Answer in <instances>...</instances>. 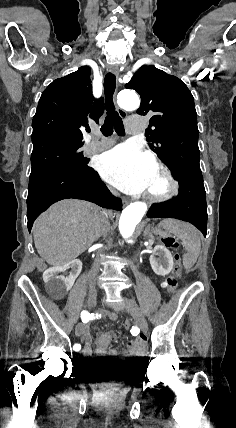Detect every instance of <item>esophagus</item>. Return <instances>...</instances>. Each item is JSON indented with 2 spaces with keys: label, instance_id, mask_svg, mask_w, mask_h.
Instances as JSON below:
<instances>
[{
  "label": "esophagus",
  "instance_id": "esophagus-1",
  "mask_svg": "<svg viewBox=\"0 0 236 428\" xmlns=\"http://www.w3.org/2000/svg\"><path fill=\"white\" fill-rule=\"evenodd\" d=\"M108 68H109L110 72H112L114 75H116V76L119 75V66L118 65H110ZM116 95H117V91L114 94V102H116ZM117 112L121 118H123V119L126 118L127 114L124 110L117 107Z\"/></svg>",
  "mask_w": 236,
  "mask_h": 428
}]
</instances>
